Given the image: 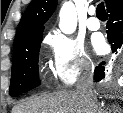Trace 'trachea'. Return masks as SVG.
<instances>
[{"instance_id": "1", "label": "trachea", "mask_w": 123, "mask_h": 113, "mask_svg": "<svg viewBox=\"0 0 123 113\" xmlns=\"http://www.w3.org/2000/svg\"><path fill=\"white\" fill-rule=\"evenodd\" d=\"M96 15H97L98 18H106V17H108L103 2H101V3H99V4L97 5V8H96Z\"/></svg>"}]
</instances>
